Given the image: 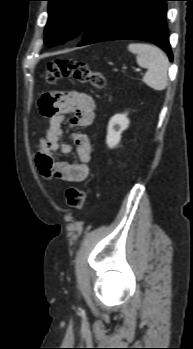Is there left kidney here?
I'll return each instance as SVG.
<instances>
[{
  "label": "left kidney",
  "instance_id": "1",
  "mask_svg": "<svg viewBox=\"0 0 193 349\" xmlns=\"http://www.w3.org/2000/svg\"><path fill=\"white\" fill-rule=\"evenodd\" d=\"M127 113L114 115L108 124L106 143L109 148H114L121 140V133L129 126Z\"/></svg>",
  "mask_w": 193,
  "mask_h": 349
}]
</instances>
